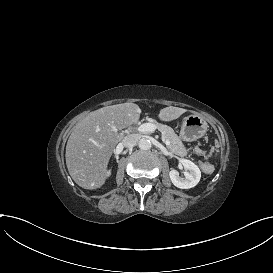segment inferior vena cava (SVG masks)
Returning <instances> with one entry per match:
<instances>
[{
	"label": "inferior vena cava",
	"mask_w": 273,
	"mask_h": 273,
	"mask_svg": "<svg viewBox=\"0 0 273 273\" xmlns=\"http://www.w3.org/2000/svg\"><path fill=\"white\" fill-rule=\"evenodd\" d=\"M139 141L138 135L130 134L122 140V145L127 148H132Z\"/></svg>",
	"instance_id": "1"
}]
</instances>
